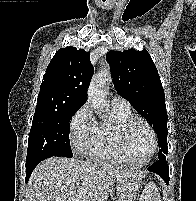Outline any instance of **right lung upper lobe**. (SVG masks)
I'll list each match as a JSON object with an SVG mask.
<instances>
[{"mask_svg":"<svg viewBox=\"0 0 196 201\" xmlns=\"http://www.w3.org/2000/svg\"><path fill=\"white\" fill-rule=\"evenodd\" d=\"M90 53L75 47L59 49L50 61L37 99L38 109L80 108L94 69Z\"/></svg>","mask_w":196,"mask_h":201,"instance_id":"1","label":"right lung upper lobe"}]
</instances>
